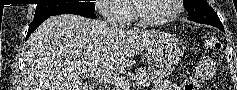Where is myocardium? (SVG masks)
<instances>
[{"mask_svg":"<svg viewBox=\"0 0 237 90\" xmlns=\"http://www.w3.org/2000/svg\"><path fill=\"white\" fill-rule=\"evenodd\" d=\"M138 1H147V0H138ZM132 9L133 18L135 20V28H157L158 26L170 23L175 21L183 10V5L186 0H172V11L165 17H162L157 20H147L143 18L136 5V1H129Z\"/></svg>","mask_w":237,"mask_h":90,"instance_id":"1","label":"myocardium"}]
</instances>
